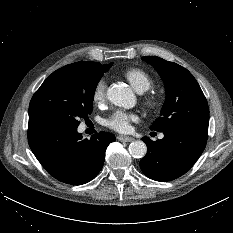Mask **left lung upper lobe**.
I'll use <instances>...</instances> for the list:
<instances>
[{
	"instance_id": "1",
	"label": "left lung upper lobe",
	"mask_w": 233,
	"mask_h": 233,
	"mask_svg": "<svg viewBox=\"0 0 233 233\" xmlns=\"http://www.w3.org/2000/svg\"><path fill=\"white\" fill-rule=\"evenodd\" d=\"M142 60L156 69L166 88L161 116L150 129L162 132L189 124L208 126V103L194 76L184 67L159 57L147 56Z\"/></svg>"
}]
</instances>
